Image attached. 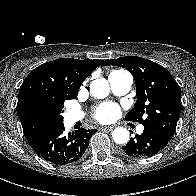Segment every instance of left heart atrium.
<instances>
[{"mask_svg":"<svg viewBox=\"0 0 196 196\" xmlns=\"http://www.w3.org/2000/svg\"><path fill=\"white\" fill-rule=\"evenodd\" d=\"M119 114V108L114 103H103L99 105L95 112L94 117L97 121L101 123H107L115 119Z\"/></svg>","mask_w":196,"mask_h":196,"instance_id":"obj_1","label":"left heart atrium"}]
</instances>
